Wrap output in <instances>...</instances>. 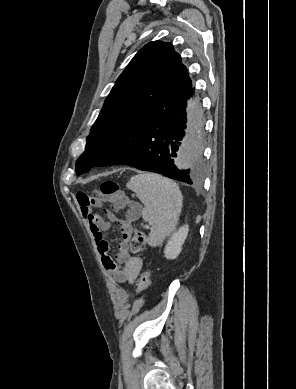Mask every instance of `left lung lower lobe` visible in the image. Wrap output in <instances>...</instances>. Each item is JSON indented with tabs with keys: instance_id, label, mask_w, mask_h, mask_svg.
<instances>
[{
	"instance_id": "left-lung-lower-lobe-1",
	"label": "left lung lower lobe",
	"mask_w": 296,
	"mask_h": 389,
	"mask_svg": "<svg viewBox=\"0 0 296 389\" xmlns=\"http://www.w3.org/2000/svg\"><path fill=\"white\" fill-rule=\"evenodd\" d=\"M187 71L161 84L151 100L113 127L99 143V166L129 165L192 184L200 174V104ZM187 135L190 169L178 170L174 157Z\"/></svg>"
}]
</instances>
